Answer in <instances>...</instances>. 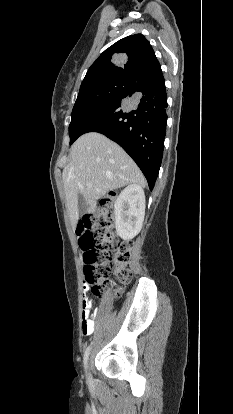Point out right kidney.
<instances>
[{"label":"right kidney","instance_id":"ca27d5eb","mask_svg":"<svg viewBox=\"0 0 233 414\" xmlns=\"http://www.w3.org/2000/svg\"><path fill=\"white\" fill-rule=\"evenodd\" d=\"M117 234L124 240L135 237L141 230L145 215V195L138 184L127 186L114 204Z\"/></svg>","mask_w":233,"mask_h":414}]
</instances>
